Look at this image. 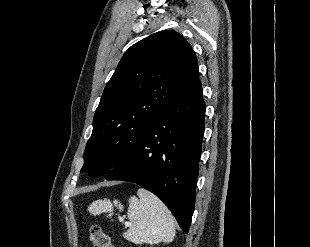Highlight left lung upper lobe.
Wrapping results in <instances>:
<instances>
[{"label":"left lung upper lobe","mask_w":310,"mask_h":247,"mask_svg":"<svg viewBox=\"0 0 310 247\" xmlns=\"http://www.w3.org/2000/svg\"><path fill=\"white\" fill-rule=\"evenodd\" d=\"M197 79L195 53L179 33L163 30L131 46L102 94L81 172L99 177L127 160L152 123Z\"/></svg>","instance_id":"left-lung-upper-lobe-1"}]
</instances>
